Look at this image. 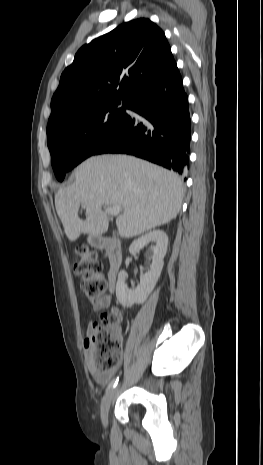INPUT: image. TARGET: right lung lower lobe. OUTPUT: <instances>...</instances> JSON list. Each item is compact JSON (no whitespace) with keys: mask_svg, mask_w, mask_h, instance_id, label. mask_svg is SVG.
<instances>
[{"mask_svg":"<svg viewBox=\"0 0 263 465\" xmlns=\"http://www.w3.org/2000/svg\"><path fill=\"white\" fill-rule=\"evenodd\" d=\"M125 114L95 154L126 153L185 175L189 163L191 119L177 66L129 98Z\"/></svg>","mask_w":263,"mask_h":465,"instance_id":"right-lung-lower-lobe-1","label":"right lung lower lobe"}]
</instances>
